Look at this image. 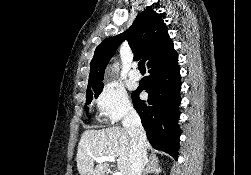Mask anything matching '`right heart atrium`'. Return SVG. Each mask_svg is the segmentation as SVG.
Masks as SVG:
<instances>
[{"mask_svg":"<svg viewBox=\"0 0 251 175\" xmlns=\"http://www.w3.org/2000/svg\"><path fill=\"white\" fill-rule=\"evenodd\" d=\"M97 119L100 122H118L132 112L126 90L117 82L105 79L94 99Z\"/></svg>","mask_w":251,"mask_h":175,"instance_id":"right-heart-atrium-1","label":"right heart atrium"}]
</instances>
